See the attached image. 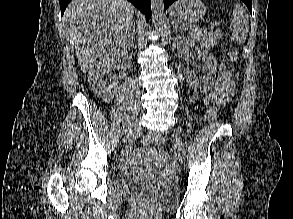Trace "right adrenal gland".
Listing matches in <instances>:
<instances>
[{
	"mask_svg": "<svg viewBox=\"0 0 293 219\" xmlns=\"http://www.w3.org/2000/svg\"><path fill=\"white\" fill-rule=\"evenodd\" d=\"M134 34H135V32H134V30H133L132 46L134 45L133 42H134V40H135V38H134Z\"/></svg>",
	"mask_w": 293,
	"mask_h": 219,
	"instance_id": "2a0ac1e0",
	"label": "right adrenal gland"
}]
</instances>
